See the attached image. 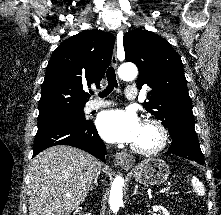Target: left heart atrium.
Listing matches in <instances>:
<instances>
[{
    "mask_svg": "<svg viewBox=\"0 0 221 215\" xmlns=\"http://www.w3.org/2000/svg\"><path fill=\"white\" fill-rule=\"evenodd\" d=\"M97 127L109 142L134 143L139 136L141 123L132 110H110L100 114Z\"/></svg>",
    "mask_w": 221,
    "mask_h": 215,
    "instance_id": "obj_1",
    "label": "left heart atrium"
}]
</instances>
